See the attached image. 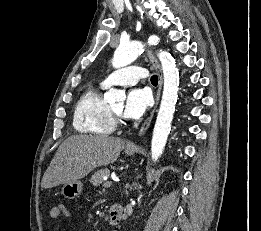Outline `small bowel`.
Returning <instances> with one entry per match:
<instances>
[{
    "label": "small bowel",
    "instance_id": "small-bowel-1",
    "mask_svg": "<svg viewBox=\"0 0 261 231\" xmlns=\"http://www.w3.org/2000/svg\"><path fill=\"white\" fill-rule=\"evenodd\" d=\"M49 215L52 219H58L60 216L64 215V216H68L69 215V212L66 208L65 205L63 204H56L54 205L50 212H49Z\"/></svg>",
    "mask_w": 261,
    "mask_h": 231
}]
</instances>
